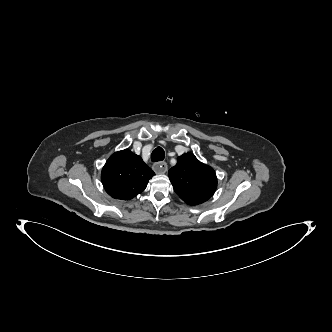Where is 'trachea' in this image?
<instances>
[{
	"mask_svg": "<svg viewBox=\"0 0 332 332\" xmlns=\"http://www.w3.org/2000/svg\"><path fill=\"white\" fill-rule=\"evenodd\" d=\"M165 153L164 150L161 147H157L153 150L151 154V161L152 162H158L162 161L164 159Z\"/></svg>",
	"mask_w": 332,
	"mask_h": 332,
	"instance_id": "1",
	"label": "trachea"
}]
</instances>
